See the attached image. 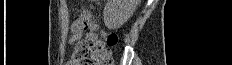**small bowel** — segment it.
<instances>
[{
	"mask_svg": "<svg viewBox=\"0 0 232 65\" xmlns=\"http://www.w3.org/2000/svg\"><path fill=\"white\" fill-rule=\"evenodd\" d=\"M89 29V31L94 33L91 17L88 14L81 15L71 27L72 35L70 37L69 43L73 44L79 41L84 34V30ZM66 65H86L84 59L79 55L77 47L73 52L71 58L68 60Z\"/></svg>",
	"mask_w": 232,
	"mask_h": 65,
	"instance_id": "1",
	"label": "small bowel"
}]
</instances>
